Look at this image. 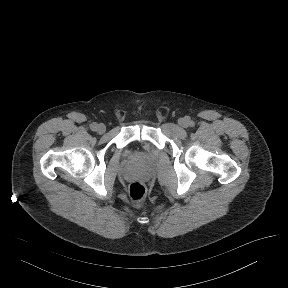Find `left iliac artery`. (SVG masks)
Returning a JSON list of instances; mask_svg holds the SVG:
<instances>
[{"label": "left iliac artery", "mask_w": 288, "mask_h": 288, "mask_svg": "<svg viewBox=\"0 0 288 288\" xmlns=\"http://www.w3.org/2000/svg\"><path fill=\"white\" fill-rule=\"evenodd\" d=\"M189 125H190L191 127H193V126H194V122H193V121H190Z\"/></svg>", "instance_id": "obj_1"}]
</instances>
